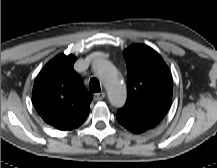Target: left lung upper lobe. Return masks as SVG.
<instances>
[{"label": "left lung upper lobe", "instance_id": "obj_1", "mask_svg": "<svg viewBox=\"0 0 217 168\" xmlns=\"http://www.w3.org/2000/svg\"><path fill=\"white\" fill-rule=\"evenodd\" d=\"M128 66L127 101L117 120L142 133L156 127L167 114L173 93L170 70L152 48L134 44L124 50Z\"/></svg>", "mask_w": 217, "mask_h": 168}]
</instances>
